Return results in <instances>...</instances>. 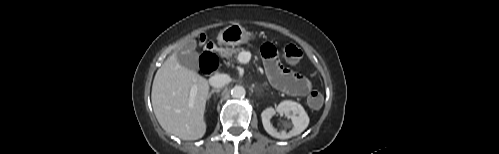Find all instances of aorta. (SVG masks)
<instances>
[{"label":"aorta","mask_w":499,"mask_h":154,"mask_svg":"<svg viewBox=\"0 0 499 154\" xmlns=\"http://www.w3.org/2000/svg\"><path fill=\"white\" fill-rule=\"evenodd\" d=\"M246 94V90L243 86H235L231 90V95L235 99H241L244 98Z\"/></svg>","instance_id":"1"}]
</instances>
